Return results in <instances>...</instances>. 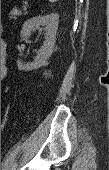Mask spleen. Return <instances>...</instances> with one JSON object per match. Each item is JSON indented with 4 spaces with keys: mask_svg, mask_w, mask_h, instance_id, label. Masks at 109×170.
I'll use <instances>...</instances> for the list:
<instances>
[{
    "mask_svg": "<svg viewBox=\"0 0 109 170\" xmlns=\"http://www.w3.org/2000/svg\"><path fill=\"white\" fill-rule=\"evenodd\" d=\"M49 2H57L58 0H48Z\"/></svg>",
    "mask_w": 109,
    "mask_h": 170,
    "instance_id": "1",
    "label": "spleen"
}]
</instances>
